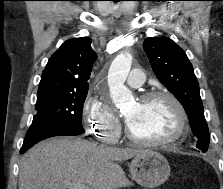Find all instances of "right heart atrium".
I'll return each instance as SVG.
<instances>
[{"instance_id": "d8ad5b80", "label": "right heart atrium", "mask_w": 223, "mask_h": 189, "mask_svg": "<svg viewBox=\"0 0 223 189\" xmlns=\"http://www.w3.org/2000/svg\"><path fill=\"white\" fill-rule=\"evenodd\" d=\"M83 118L91 133L105 142H113L120 122L112 107L102 98L90 96L84 103Z\"/></svg>"}]
</instances>
